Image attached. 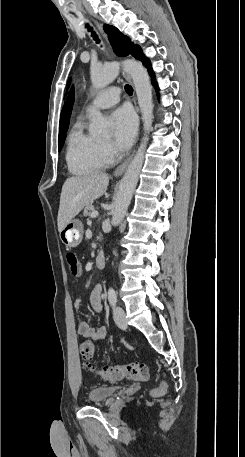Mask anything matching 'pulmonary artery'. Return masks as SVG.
<instances>
[{
  "mask_svg": "<svg viewBox=\"0 0 245 457\" xmlns=\"http://www.w3.org/2000/svg\"><path fill=\"white\" fill-rule=\"evenodd\" d=\"M121 88L114 86H107L104 93H99L97 97L91 100L87 105V109H102L115 105L119 101V93Z\"/></svg>",
  "mask_w": 245,
  "mask_h": 457,
  "instance_id": "e3ab8cb5",
  "label": "pulmonary artery"
}]
</instances>
